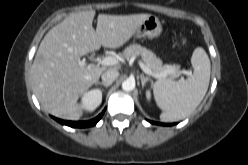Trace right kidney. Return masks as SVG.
I'll return each instance as SVG.
<instances>
[{
    "instance_id": "ca27d5eb",
    "label": "right kidney",
    "mask_w": 248,
    "mask_h": 165,
    "mask_svg": "<svg viewBox=\"0 0 248 165\" xmlns=\"http://www.w3.org/2000/svg\"><path fill=\"white\" fill-rule=\"evenodd\" d=\"M102 102V92L93 89L86 92L82 97L81 107L87 111H94Z\"/></svg>"
}]
</instances>
